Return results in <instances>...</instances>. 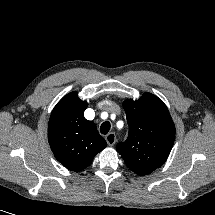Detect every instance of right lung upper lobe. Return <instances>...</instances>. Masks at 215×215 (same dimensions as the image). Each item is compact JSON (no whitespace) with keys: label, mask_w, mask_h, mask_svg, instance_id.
Listing matches in <instances>:
<instances>
[{"label":"right lung upper lobe","mask_w":215,"mask_h":215,"mask_svg":"<svg viewBox=\"0 0 215 215\" xmlns=\"http://www.w3.org/2000/svg\"><path fill=\"white\" fill-rule=\"evenodd\" d=\"M87 106L77 92H71L55 106L48 123V140L53 154L71 171L85 169L107 145L96 125L85 119Z\"/></svg>","instance_id":"right-lung-upper-lobe-1"}]
</instances>
